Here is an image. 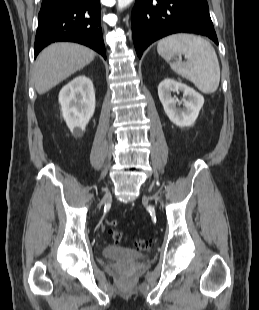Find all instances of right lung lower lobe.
Instances as JSON below:
<instances>
[{"label":"right lung lower lobe","mask_w":259,"mask_h":310,"mask_svg":"<svg viewBox=\"0 0 259 310\" xmlns=\"http://www.w3.org/2000/svg\"><path fill=\"white\" fill-rule=\"evenodd\" d=\"M100 0H43L34 42L35 57L51 43L84 44L106 59Z\"/></svg>","instance_id":"98d812e1"}]
</instances>
